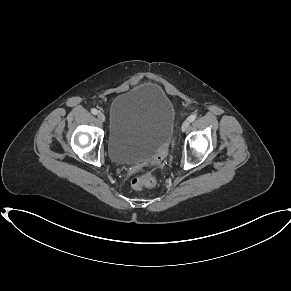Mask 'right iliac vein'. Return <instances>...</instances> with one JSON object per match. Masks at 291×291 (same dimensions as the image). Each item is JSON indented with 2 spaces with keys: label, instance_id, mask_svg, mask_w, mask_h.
I'll list each match as a JSON object with an SVG mask.
<instances>
[{
  "label": "right iliac vein",
  "instance_id": "1",
  "mask_svg": "<svg viewBox=\"0 0 291 291\" xmlns=\"http://www.w3.org/2000/svg\"><path fill=\"white\" fill-rule=\"evenodd\" d=\"M97 116H98V119H99L101 122H104L105 119H106V118H105V115H104L102 112H99Z\"/></svg>",
  "mask_w": 291,
  "mask_h": 291
}]
</instances>
